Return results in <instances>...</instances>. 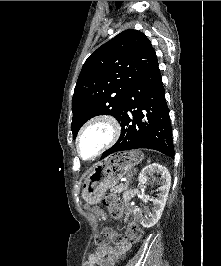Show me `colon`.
Wrapping results in <instances>:
<instances>
[{
    "mask_svg": "<svg viewBox=\"0 0 221 266\" xmlns=\"http://www.w3.org/2000/svg\"><path fill=\"white\" fill-rule=\"evenodd\" d=\"M102 202L114 219H119L122 216V203L118 198L111 194H106ZM141 236L142 230L140 227L136 223L130 222L125 234L116 233L111 229L101 230L95 237V243L100 247H104L110 243L122 244L126 241L135 243Z\"/></svg>",
    "mask_w": 221,
    "mask_h": 266,
    "instance_id": "obj_1",
    "label": "colon"
}]
</instances>
